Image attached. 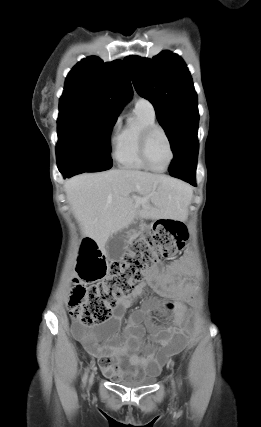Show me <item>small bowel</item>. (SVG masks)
Masks as SVG:
<instances>
[{"label": "small bowel", "mask_w": 261, "mask_h": 427, "mask_svg": "<svg viewBox=\"0 0 261 427\" xmlns=\"http://www.w3.org/2000/svg\"><path fill=\"white\" fill-rule=\"evenodd\" d=\"M190 269L187 256L167 266L156 264L146 273L144 282L116 302L114 313L107 324L97 329L81 325L72 327L74 338L91 356L99 359V366L105 375L117 379H133L141 374L157 375L167 359L185 347L186 331L181 326L183 311L174 313L171 326H160L151 316L157 307V303L151 298L144 300L142 306L129 315L122 332L121 324L125 311L143 294L145 287L148 286L158 293L170 289L182 290L185 283L182 274ZM100 341L104 344H100ZM145 347L149 348L150 352L146 355L140 354L139 351ZM122 357L129 359V365L124 368L120 367Z\"/></svg>", "instance_id": "1"}]
</instances>
